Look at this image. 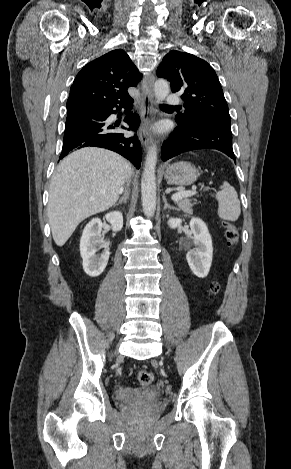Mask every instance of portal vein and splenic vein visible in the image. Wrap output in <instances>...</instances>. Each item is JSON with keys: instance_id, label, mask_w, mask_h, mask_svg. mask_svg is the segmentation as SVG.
<instances>
[{"instance_id": "1", "label": "portal vein and splenic vein", "mask_w": 291, "mask_h": 469, "mask_svg": "<svg viewBox=\"0 0 291 469\" xmlns=\"http://www.w3.org/2000/svg\"><path fill=\"white\" fill-rule=\"evenodd\" d=\"M194 191H183V192H178L172 195V200L177 201L185 197H190L194 194Z\"/></svg>"}]
</instances>
